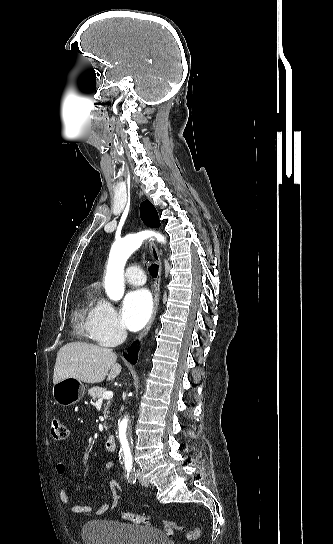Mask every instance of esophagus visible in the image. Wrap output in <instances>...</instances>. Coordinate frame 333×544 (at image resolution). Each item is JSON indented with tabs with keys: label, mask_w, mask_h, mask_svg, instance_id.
I'll list each match as a JSON object with an SVG mask.
<instances>
[{
	"label": "esophagus",
	"mask_w": 333,
	"mask_h": 544,
	"mask_svg": "<svg viewBox=\"0 0 333 544\" xmlns=\"http://www.w3.org/2000/svg\"><path fill=\"white\" fill-rule=\"evenodd\" d=\"M150 250H151V254H152L154 260L158 264V275H157V278H156V280L154 282V296H153L152 315L150 317L149 322L145 326V328L139 334V336H138L139 340L142 339L149 332V330L151 329V327H152V325L154 323V320L156 318L158 308H159V302H160V288H161V278H162L163 266H162V261H161V257H160L158 247H157V245H156V243H155V241L153 239L150 240Z\"/></svg>",
	"instance_id": "esophagus-1"
}]
</instances>
